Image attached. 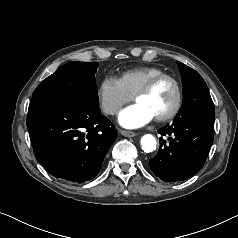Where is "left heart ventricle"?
<instances>
[{
	"label": "left heart ventricle",
	"instance_id": "1",
	"mask_svg": "<svg viewBox=\"0 0 238 238\" xmlns=\"http://www.w3.org/2000/svg\"><path fill=\"white\" fill-rule=\"evenodd\" d=\"M176 100V91L173 83L163 80L158 83L148 94L137 98L136 103L142 104L154 117L168 113Z\"/></svg>",
	"mask_w": 238,
	"mask_h": 238
}]
</instances>
